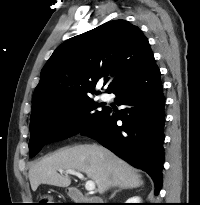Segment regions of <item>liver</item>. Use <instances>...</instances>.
I'll return each mask as SVG.
<instances>
[{
  "label": "liver",
  "mask_w": 200,
  "mask_h": 205,
  "mask_svg": "<svg viewBox=\"0 0 200 205\" xmlns=\"http://www.w3.org/2000/svg\"><path fill=\"white\" fill-rule=\"evenodd\" d=\"M59 170L83 172L97 186L99 193L114 187L136 188L143 184L141 175L111 151L97 145H78L60 150L30 167L31 188L40 184L68 187L71 179Z\"/></svg>",
  "instance_id": "1"
}]
</instances>
